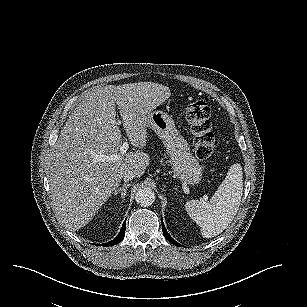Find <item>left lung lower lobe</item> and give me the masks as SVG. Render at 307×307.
<instances>
[{"instance_id": "left-lung-lower-lobe-1", "label": "left lung lower lobe", "mask_w": 307, "mask_h": 307, "mask_svg": "<svg viewBox=\"0 0 307 307\" xmlns=\"http://www.w3.org/2000/svg\"><path fill=\"white\" fill-rule=\"evenodd\" d=\"M162 221V230H163V234L165 236V238L170 242L172 243L173 245L175 246H181L179 243H177L170 235L169 233L167 232L165 226H164V223H163V220Z\"/></svg>"}]
</instances>
